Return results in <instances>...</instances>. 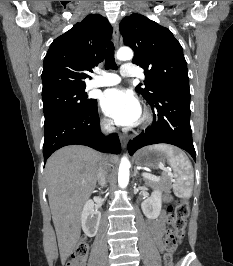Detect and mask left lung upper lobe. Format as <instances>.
<instances>
[{
  "instance_id": "obj_1",
  "label": "left lung upper lobe",
  "mask_w": 233,
  "mask_h": 266,
  "mask_svg": "<svg viewBox=\"0 0 233 266\" xmlns=\"http://www.w3.org/2000/svg\"><path fill=\"white\" fill-rule=\"evenodd\" d=\"M120 32L134 50L132 62L145 69V88L139 84L136 90L148 103L166 92L189 89L183 49L169 29L134 13L121 21Z\"/></svg>"
}]
</instances>
